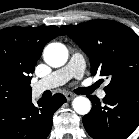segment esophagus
I'll list each match as a JSON object with an SVG mask.
<instances>
[{
  "instance_id": "esophagus-1",
  "label": "esophagus",
  "mask_w": 139,
  "mask_h": 139,
  "mask_svg": "<svg viewBox=\"0 0 139 139\" xmlns=\"http://www.w3.org/2000/svg\"><path fill=\"white\" fill-rule=\"evenodd\" d=\"M65 97L68 101H70L75 97V95L68 92V93L65 94Z\"/></svg>"
}]
</instances>
